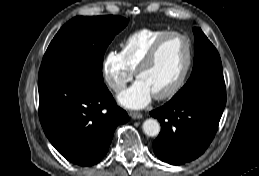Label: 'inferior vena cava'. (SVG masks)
Listing matches in <instances>:
<instances>
[{
	"label": "inferior vena cava",
	"instance_id": "inferior-vena-cava-1",
	"mask_svg": "<svg viewBox=\"0 0 259 176\" xmlns=\"http://www.w3.org/2000/svg\"><path fill=\"white\" fill-rule=\"evenodd\" d=\"M121 89V86H117V90H120Z\"/></svg>",
	"mask_w": 259,
	"mask_h": 176
}]
</instances>
